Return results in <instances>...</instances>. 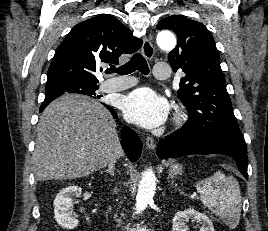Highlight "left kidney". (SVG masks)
I'll use <instances>...</instances> for the list:
<instances>
[{"mask_svg": "<svg viewBox=\"0 0 268 231\" xmlns=\"http://www.w3.org/2000/svg\"><path fill=\"white\" fill-rule=\"evenodd\" d=\"M195 220L201 224L200 231H215L212 221L205 215L194 209L179 211L173 218L172 231H188L187 222Z\"/></svg>", "mask_w": 268, "mask_h": 231, "instance_id": "left-kidney-1", "label": "left kidney"}]
</instances>
